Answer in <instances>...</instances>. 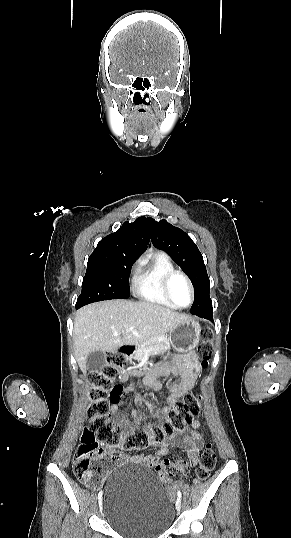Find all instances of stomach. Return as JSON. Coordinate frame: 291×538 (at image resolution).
<instances>
[{
  "label": "stomach",
  "instance_id": "stomach-1",
  "mask_svg": "<svg viewBox=\"0 0 291 538\" xmlns=\"http://www.w3.org/2000/svg\"><path fill=\"white\" fill-rule=\"evenodd\" d=\"M200 334L199 323L189 318L170 330L169 341L176 351L192 352L199 342Z\"/></svg>",
  "mask_w": 291,
  "mask_h": 538
}]
</instances>
